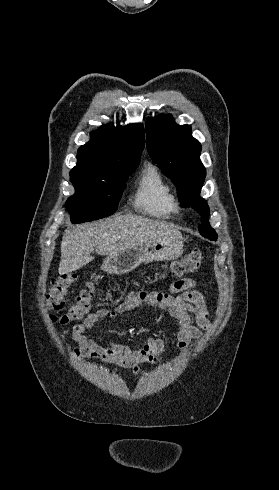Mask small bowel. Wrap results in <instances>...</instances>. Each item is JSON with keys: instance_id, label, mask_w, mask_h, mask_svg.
Wrapping results in <instances>:
<instances>
[{"instance_id": "obj_1", "label": "small bowel", "mask_w": 279, "mask_h": 490, "mask_svg": "<svg viewBox=\"0 0 279 490\" xmlns=\"http://www.w3.org/2000/svg\"><path fill=\"white\" fill-rule=\"evenodd\" d=\"M193 279L176 280L170 288V293L160 291H133L113 308H100L87 315L84 321L71 331L63 332L64 339L70 335L77 343L75 355L79 359L94 358L115 363L131 370V375H137L143 365L156 364L161 361L165 345L161 335L150 337L138 350H132L126 344L112 339L108 347H103L87 335L100 320L115 319L120 314L137 309L141 305H149L162 310H168L179 321L176 332L177 348L184 349L191 342L202 337L203 332L210 328L206 300L202 293L195 288Z\"/></svg>"}]
</instances>
